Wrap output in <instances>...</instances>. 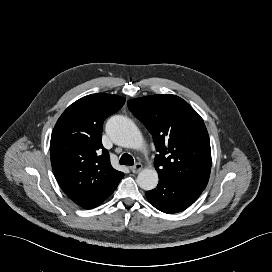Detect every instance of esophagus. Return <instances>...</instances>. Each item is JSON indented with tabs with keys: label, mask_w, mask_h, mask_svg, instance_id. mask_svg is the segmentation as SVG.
Wrapping results in <instances>:
<instances>
[{
	"label": "esophagus",
	"mask_w": 272,
	"mask_h": 272,
	"mask_svg": "<svg viewBox=\"0 0 272 272\" xmlns=\"http://www.w3.org/2000/svg\"><path fill=\"white\" fill-rule=\"evenodd\" d=\"M143 165L141 163H136L134 166L130 167L133 173H138L142 170Z\"/></svg>",
	"instance_id": "1"
}]
</instances>
